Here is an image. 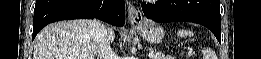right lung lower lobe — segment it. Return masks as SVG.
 Segmentation results:
<instances>
[{
  "label": "right lung lower lobe",
  "mask_w": 261,
  "mask_h": 59,
  "mask_svg": "<svg viewBox=\"0 0 261 59\" xmlns=\"http://www.w3.org/2000/svg\"><path fill=\"white\" fill-rule=\"evenodd\" d=\"M124 15V0H36L32 40L43 27L55 21L98 18L123 26Z\"/></svg>",
  "instance_id": "1"
}]
</instances>
